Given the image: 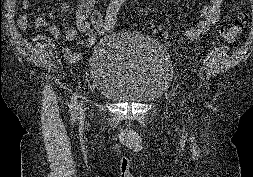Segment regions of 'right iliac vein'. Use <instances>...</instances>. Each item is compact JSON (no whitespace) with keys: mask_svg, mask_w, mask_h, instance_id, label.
<instances>
[{"mask_svg":"<svg viewBox=\"0 0 253 177\" xmlns=\"http://www.w3.org/2000/svg\"><path fill=\"white\" fill-rule=\"evenodd\" d=\"M85 110H86V107H85L84 102L82 101L80 103V107H79V114L82 116L84 114Z\"/></svg>","mask_w":253,"mask_h":177,"instance_id":"1","label":"right iliac vein"}]
</instances>
